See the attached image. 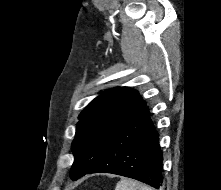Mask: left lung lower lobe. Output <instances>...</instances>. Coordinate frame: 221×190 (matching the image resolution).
Listing matches in <instances>:
<instances>
[{
	"mask_svg": "<svg viewBox=\"0 0 221 190\" xmlns=\"http://www.w3.org/2000/svg\"><path fill=\"white\" fill-rule=\"evenodd\" d=\"M148 110L145 106L116 133L87 173L122 175L156 189L163 184L162 151Z\"/></svg>",
	"mask_w": 221,
	"mask_h": 190,
	"instance_id": "1",
	"label": "left lung lower lobe"
}]
</instances>
